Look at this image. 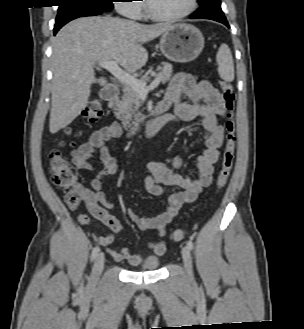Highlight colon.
Segmentation results:
<instances>
[{"label": "colon", "instance_id": "obj_1", "mask_svg": "<svg viewBox=\"0 0 304 329\" xmlns=\"http://www.w3.org/2000/svg\"><path fill=\"white\" fill-rule=\"evenodd\" d=\"M222 99L225 108V146L222 152L220 169L217 175L215 191H221L227 184L235 157L236 135L233 121L235 94L230 82L221 80ZM103 114L102 103L94 98L89 101L85 109L84 120L87 124L97 121ZM72 134V130H68ZM64 144V143H63ZM50 175L53 184L62 190H66L65 202L70 209L79 207L83 200V192L77 184L78 172L67 158L58 150L50 153ZM186 232L183 229H175L170 233V239L179 242L184 239Z\"/></svg>", "mask_w": 304, "mask_h": 329}]
</instances>
